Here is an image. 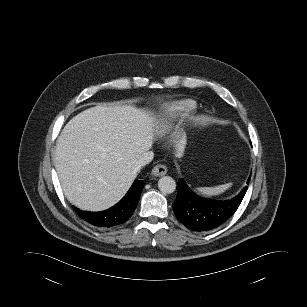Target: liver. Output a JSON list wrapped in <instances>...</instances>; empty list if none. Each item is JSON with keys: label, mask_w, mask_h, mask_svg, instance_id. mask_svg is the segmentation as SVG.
<instances>
[{"label": "liver", "mask_w": 307, "mask_h": 307, "mask_svg": "<svg viewBox=\"0 0 307 307\" xmlns=\"http://www.w3.org/2000/svg\"><path fill=\"white\" fill-rule=\"evenodd\" d=\"M156 121L152 113L128 105H99L73 117L55 150L56 171L68 201L88 211L117 203L137 176L138 159L152 147Z\"/></svg>", "instance_id": "obj_1"}]
</instances>
